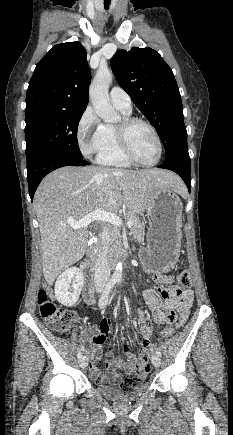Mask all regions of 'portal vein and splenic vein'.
<instances>
[{
	"label": "portal vein and splenic vein",
	"instance_id": "18ae733b",
	"mask_svg": "<svg viewBox=\"0 0 233 435\" xmlns=\"http://www.w3.org/2000/svg\"><path fill=\"white\" fill-rule=\"evenodd\" d=\"M95 220L106 221V222L113 224L116 227L122 226V220L119 216H117L116 214H113L111 212L103 211L101 208H98V209L94 210L93 212L87 214L80 221H77V222L69 221L68 223L71 227H73L75 229H79V228H87V226ZM126 225L128 228H131L133 226V221L129 220L126 223Z\"/></svg>",
	"mask_w": 233,
	"mask_h": 435
}]
</instances>
